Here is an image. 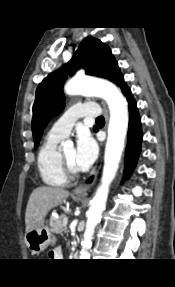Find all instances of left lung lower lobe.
<instances>
[{
	"label": "left lung lower lobe",
	"mask_w": 175,
	"mask_h": 287,
	"mask_svg": "<svg viewBox=\"0 0 175 287\" xmlns=\"http://www.w3.org/2000/svg\"><path fill=\"white\" fill-rule=\"evenodd\" d=\"M123 94L126 96L129 106V130H128V142L125 155V177H129L132 173L138 157L141 152L142 130L141 119L138 113L136 101L128 86L122 89ZM91 179L88 180L90 182Z\"/></svg>",
	"instance_id": "left-lung-lower-lobe-1"
}]
</instances>
